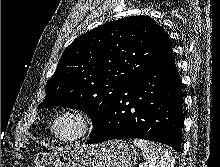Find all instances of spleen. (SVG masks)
<instances>
[{
    "mask_svg": "<svg viewBox=\"0 0 220 167\" xmlns=\"http://www.w3.org/2000/svg\"><path fill=\"white\" fill-rule=\"evenodd\" d=\"M133 143L143 151L146 167H174V158L163 146L143 139H134Z\"/></svg>",
    "mask_w": 220,
    "mask_h": 167,
    "instance_id": "obj_1",
    "label": "spleen"
}]
</instances>
